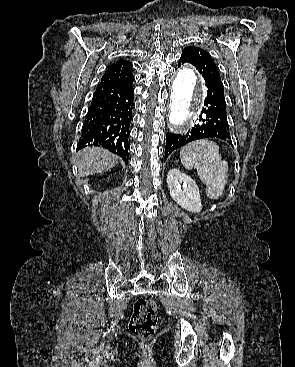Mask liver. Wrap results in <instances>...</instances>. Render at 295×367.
Returning a JSON list of instances; mask_svg holds the SVG:
<instances>
[{"instance_id": "obj_1", "label": "liver", "mask_w": 295, "mask_h": 367, "mask_svg": "<svg viewBox=\"0 0 295 367\" xmlns=\"http://www.w3.org/2000/svg\"><path fill=\"white\" fill-rule=\"evenodd\" d=\"M118 163V157L102 147H87L77 153L80 176L108 171Z\"/></svg>"}]
</instances>
